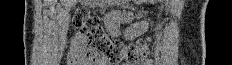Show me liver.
<instances>
[{
  "label": "liver",
  "mask_w": 232,
  "mask_h": 65,
  "mask_svg": "<svg viewBox=\"0 0 232 65\" xmlns=\"http://www.w3.org/2000/svg\"><path fill=\"white\" fill-rule=\"evenodd\" d=\"M75 3H76L75 0H65V1H63V4H64L66 7L74 6Z\"/></svg>",
  "instance_id": "6515ba94"
}]
</instances>
